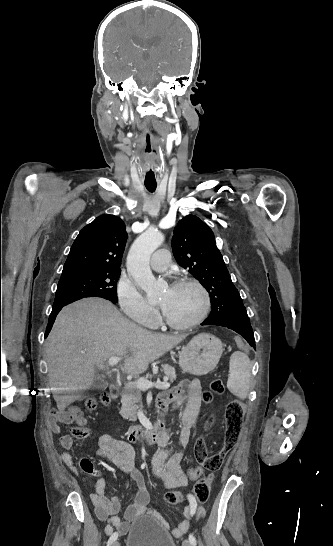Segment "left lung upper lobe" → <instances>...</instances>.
Here are the masks:
<instances>
[{"label":"left lung upper lobe","mask_w":333,"mask_h":546,"mask_svg":"<svg viewBox=\"0 0 333 546\" xmlns=\"http://www.w3.org/2000/svg\"><path fill=\"white\" fill-rule=\"evenodd\" d=\"M172 250L177 263L188 269L209 292L212 311L208 318L230 321L246 313L214 234L203 221L193 215L180 220L174 230Z\"/></svg>","instance_id":"1"}]
</instances>
